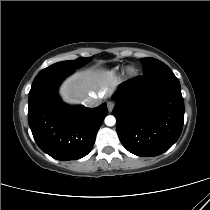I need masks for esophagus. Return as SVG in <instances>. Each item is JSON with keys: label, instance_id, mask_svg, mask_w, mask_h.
<instances>
[{"label": "esophagus", "instance_id": "obj_1", "mask_svg": "<svg viewBox=\"0 0 210 210\" xmlns=\"http://www.w3.org/2000/svg\"><path fill=\"white\" fill-rule=\"evenodd\" d=\"M114 105L115 103L113 101H108L107 102V107H108V110L111 112L114 108Z\"/></svg>", "mask_w": 210, "mask_h": 210}]
</instances>
